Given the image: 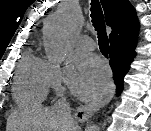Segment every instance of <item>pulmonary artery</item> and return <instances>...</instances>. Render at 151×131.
Masks as SVG:
<instances>
[{"mask_svg": "<svg viewBox=\"0 0 151 131\" xmlns=\"http://www.w3.org/2000/svg\"><path fill=\"white\" fill-rule=\"evenodd\" d=\"M79 45L85 50H92L94 47L93 41L88 37H82Z\"/></svg>", "mask_w": 151, "mask_h": 131, "instance_id": "obj_1", "label": "pulmonary artery"}]
</instances>
